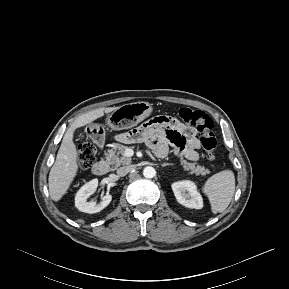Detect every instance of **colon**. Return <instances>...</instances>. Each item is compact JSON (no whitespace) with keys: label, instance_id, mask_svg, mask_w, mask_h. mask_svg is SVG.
Listing matches in <instances>:
<instances>
[{"label":"colon","instance_id":"colon-1","mask_svg":"<svg viewBox=\"0 0 289 289\" xmlns=\"http://www.w3.org/2000/svg\"><path fill=\"white\" fill-rule=\"evenodd\" d=\"M177 117L187 125L196 127L200 133V142L208 159L214 160L216 157V139L213 133V120L203 111L180 108L176 111ZM96 148L93 142L81 137L78 145V164L81 168L89 167L95 158Z\"/></svg>","mask_w":289,"mask_h":289}]
</instances>
